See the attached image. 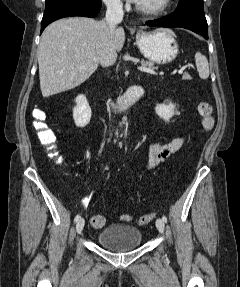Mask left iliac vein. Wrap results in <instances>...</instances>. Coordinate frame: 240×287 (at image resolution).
Returning <instances> with one entry per match:
<instances>
[{
  "mask_svg": "<svg viewBox=\"0 0 240 287\" xmlns=\"http://www.w3.org/2000/svg\"><path fill=\"white\" fill-rule=\"evenodd\" d=\"M156 227L162 233L164 231V221L161 218L156 220Z\"/></svg>",
  "mask_w": 240,
  "mask_h": 287,
  "instance_id": "left-iliac-vein-1",
  "label": "left iliac vein"
}]
</instances>
